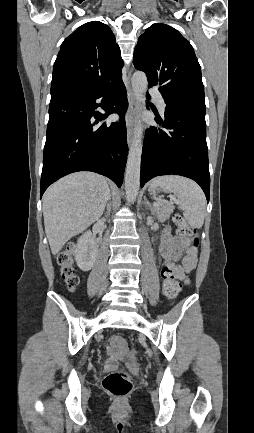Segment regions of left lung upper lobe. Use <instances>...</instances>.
I'll use <instances>...</instances> for the list:
<instances>
[{
	"instance_id": "5c2ea615",
	"label": "left lung upper lobe",
	"mask_w": 254,
	"mask_h": 433,
	"mask_svg": "<svg viewBox=\"0 0 254 433\" xmlns=\"http://www.w3.org/2000/svg\"><path fill=\"white\" fill-rule=\"evenodd\" d=\"M133 64L159 86L166 104H189L205 110L201 68L191 44L174 28L155 23L139 37Z\"/></svg>"
}]
</instances>
